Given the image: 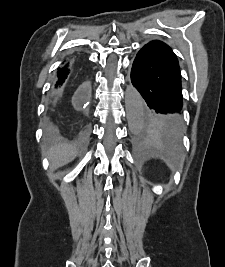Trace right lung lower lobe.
<instances>
[{"label": "right lung lower lobe", "instance_id": "obj_1", "mask_svg": "<svg viewBox=\"0 0 225 267\" xmlns=\"http://www.w3.org/2000/svg\"><path fill=\"white\" fill-rule=\"evenodd\" d=\"M86 75L87 69L81 59L75 57L67 59L62 67L58 68L55 84L56 91L60 95L65 89L75 85L81 79H84V85L87 87ZM48 132L53 133V128L49 127Z\"/></svg>", "mask_w": 225, "mask_h": 267}]
</instances>
